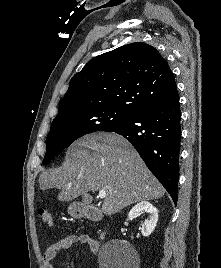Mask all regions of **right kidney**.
Here are the masks:
<instances>
[{
  "instance_id": "1",
  "label": "right kidney",
  "mask_w": 221,
  "mask_h": 268,
  "mask_svg": "<svg viewBox=\"0 0 221 268\" xmlns=\"http://www.w3.org/2000/svg\"><path fill=\"white\" fill-rule=\"evenodd\" d=\"M142 211L148 213L149 217L141 224L140 230L144 237H148L156 227V223L158 221V210L151 203L142 201L130 210L128 218H136Z\"/></svg>"
}]
</instances>
